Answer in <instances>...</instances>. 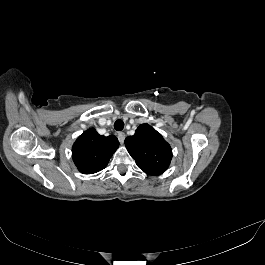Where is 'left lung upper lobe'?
Wrapping results in <instances>:
<instances>
[{
  "instance_id": "5c2ea615",
  "label": "left lung upper lobe",
  "mask_w": 265,
  "mask_h": 265,
  "mask_svg": "<svg viewBox=\"0 0 265 265\" xmlns=\"http://www.w3.org/2000/svg\"><path fill=\"white\" fill-rule=\"evenodd\" d=\"M125 146L137 166L149 175L165 172L172 159L170 145L148 124H141L133 136H128Z\"/></svg>"
}]
</instances>
